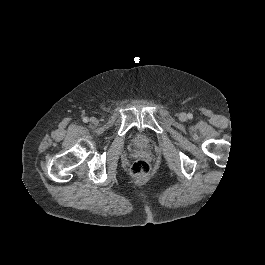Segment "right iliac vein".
<instances>
[{"label": "right iliac vein", "mask_w": 265, "mask_h": 265, "mask_svg": "<svg viewBox=\"0 0 265 265\" xmlns=\"http://www.w3.org/2000/svg\"><path fill=\"white\" fill-rule=\"evenodd\" d=\"M90 124H91L92 126H96V125L98 124V120H97V118H95V117H91V118H90Z\"/></svg>", "instance_id": "right-iliac-vein-1"}]
</instances>
